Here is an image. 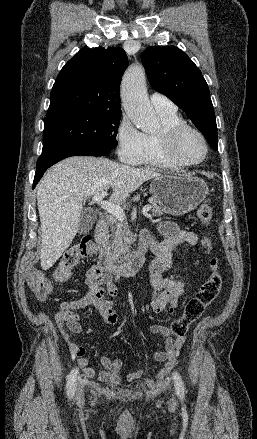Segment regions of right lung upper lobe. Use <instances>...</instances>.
Masks as SVG:
<instances>
[{"mask_svg": "<svg viewBox=\"0 0 257 439\" xmlns=\"http://www.w3.org/2000/svg\"><path fill=\"white\" fill-rule=\"evenodd\" d=\"M127 66L120 47L82 48L58 74L46 117L82 109L121 112L119 87Z\"/></svg>", "mask_w": 257, "mask_h": 439, "instance_id": "cb5924a9", "label": "right lung upper lobe"}]
</instances>
